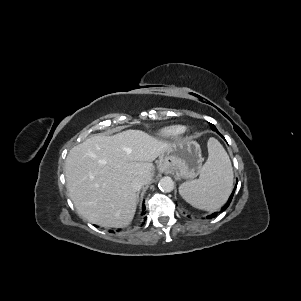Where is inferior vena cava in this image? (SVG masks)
<instances>
[{"label": "inferior vena cava", "mask_w": 301, "mask_h": 301, "mask_svg": "<svg viewBox=\"0 0 301 301\" xmlns=\"http://www.w3.org/2000/svg\"><path fill=\"white\" fill-rule=\"evenodd\" d=\"M145 184V179L142 176H137L132 180V187L139 191Z\"/></svg>", "instance_id": "602c4592"}]
</instances>
